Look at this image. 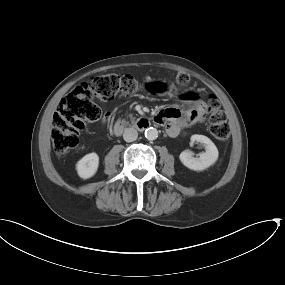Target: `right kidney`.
<instances>
[{
    "label": "right kidney",
    "instance_id": "1",
    "mask_svg": "<svg viewBox=\"0 0 285 285\" xmlns=\"http://www.w3.org/2000/svg\"><path fill=\"white\" fill-rule=\"evenodd\" d=\"M99 156L96 153H89L81 158L76 164L79 177L83 179L91 178L98 170Z\"/></svg>",
    "mask_w": 285,
    "mask_h": 285
}]
</instances>
